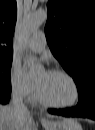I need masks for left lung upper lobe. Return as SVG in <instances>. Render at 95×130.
<instances>
[{"label": "left lung upper lobe", "mask_w": 95, "mask_h": 130, "mask_svg": "<svg viewBox=\"0 0 95 130\" xmlns=\"http://www.w3.org/2000/svg\"><path fill=\"white\" fill-rule=\"evenodd\" d=\"M47 12V43L81 94L95 84V2L49 0Z\"/></svg>", "instance_id": "1"}]
</instances>
